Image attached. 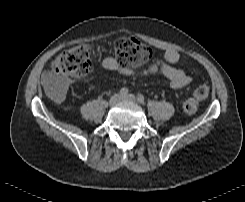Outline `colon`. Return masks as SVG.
<instances>
[{
  "instance_id": "1",
  "label": "colon",
  "mask_w": 245,
  "mask_h": 202,
  "mask_svg": "<svg viewBox=\"0 0 245 202\" xmlns=\"http://www.w3.org/2000/svg\"><path fill=\"white\" fill-rule=\"evenodd\" d=\"M115 55L122 65L140 66L153 57V50L149 45L139 41L132 35H124L115 41ZM52 70L61 76L72 79H83L92 69L91 47L86 43L70 46L58 54L51 63ZM211 91L207 81L198 86L192 95L183 103V112L192 115L196 112L199 102L208 97Z\"/></svg>"
}]
</instances>
